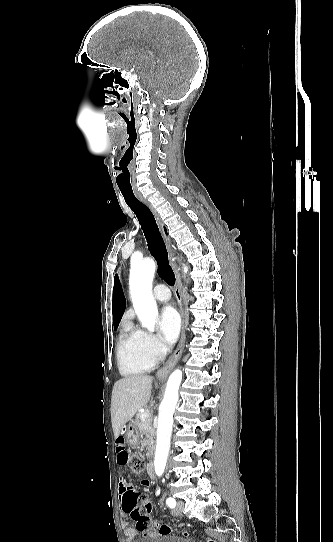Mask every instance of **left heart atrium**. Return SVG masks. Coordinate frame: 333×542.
Wrapping results in <instances>:
<instances>
[{"mask_svg": "<svg viewBox=\"0 0 333 542\" xmlns=\"http://www.w3.org/2000/svg\"><path fill=\"white\" fill-rule=\"evenodd\" d=\"M180 319L174 308L171 306L165 307L161 312V335L163 340L172 345L179 333Z\"/></svg>", "mask_w": 333, "mask_h": 542, "instance_id": "1", "label": "left heart atrium"}]
</instances>
